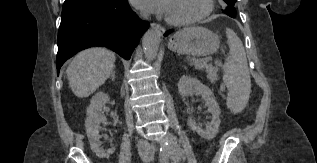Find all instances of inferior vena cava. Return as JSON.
<instances>
[{
	"label": "inferior vena cava",
	"mask_w": 317,
	"mask_h": 163,
	"mask_svg": "<svg viewBox=\"0 0 317 163\" xmlns=\"http://www.w3.org/2000/svg\"><path fill=\"white\" fill-rule=\"evenodd\" d=\"M138 152L142 159H149L154 156V148L147 141H138Z\"/></svg>",
	"instance_id": "obj_1"
}]
</instances>
